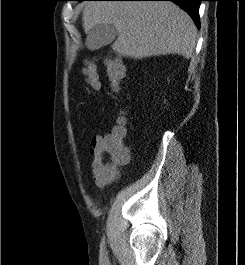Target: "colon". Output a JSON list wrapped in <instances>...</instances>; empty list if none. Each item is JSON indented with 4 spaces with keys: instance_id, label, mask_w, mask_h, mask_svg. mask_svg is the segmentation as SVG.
I'll list each match as a JSON object with an SVG mask.
<instances>
[{
    "instance_id": "obj_1",
    "label": "colon",
    "mask_w": 245,
    "mask_h": 265,
    "mask_svg": "<svg viewBox=\"0 0 245 265\" xmlns=\"http://www.w3.org/2000/svg\"><path fill=\"white\" fill-rule=\"evenodd\" d=\"M107 76L114 91H117L125 76V69L122 62L115 57H108L105 60ZM88 85L93 90L100 88L99 75L93 61L87 62L83 69ZM126 129L124 120L104 136L103 143L93 155L92 165L98 171L113 178L118 168L129 158V151L125 145Z\"/></svg>"
}]
</instances>
